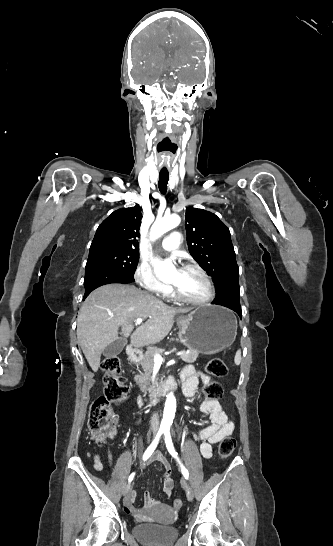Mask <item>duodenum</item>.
<instances>
[{
    "label": "duodenum",
    "instance_id": "410a0bca",
    "mask_svg": "<svg viewBox=\"0 0 333 546\" xmlns=\"http://www.w3.org/2000/svg\"><path fill=\"white\" fill-rule=\"evenodd\" d=\"M129 356L133 360L140 358V353L137 349L130 346L129 347ZM175 388V381L170 377H162L156 385L151 389L149 393V398L152 402H157L161 397L168 391Z\"/></svg>",
    "mask_w": 333,
    "mask_h": 546
}]
</instances>
